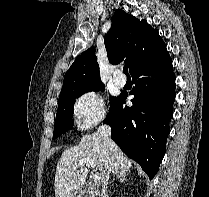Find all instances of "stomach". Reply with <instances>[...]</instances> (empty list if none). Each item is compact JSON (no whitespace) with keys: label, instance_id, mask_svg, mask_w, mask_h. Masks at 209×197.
Instances as JSON below:
<instances>
[{"label":"stomach","instance_id":"1","mask_svg":"<svg viewBox=\"0 0 209 197\" xmlns=\"http://www.w3.org/2000/svg\"><path fill=\"white\" fill-rule=\"evenodd\" d=\"M71 197H81L78 192H75Z\"/></svg>","mask_w":209,"mask_h":197}]
</instances>
